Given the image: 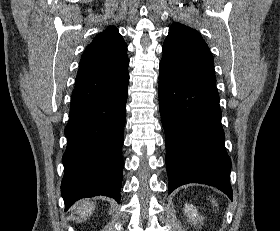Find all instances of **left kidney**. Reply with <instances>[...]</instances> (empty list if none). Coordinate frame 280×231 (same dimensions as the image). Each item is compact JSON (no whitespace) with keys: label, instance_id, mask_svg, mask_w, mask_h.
I'll return each mask as SVG.
<instances>
[{"label":"left kidney","instance_id":"left-kidney-1","mask_svg":"<svg viewBox=\"0 0 280 231\" xmlns=\"http://www.w3.org/2000/svg\"><path fill=\"white\" fill-rule=\"evenodd\" d=\"M183 211L186 213L187 217H189V221H192V223H202L204 217L199 215L196 207H194L192 203H185Z\"/></svg>","mask_w":280,"mask_h":231}]
</instances>
